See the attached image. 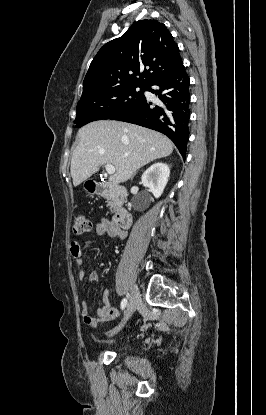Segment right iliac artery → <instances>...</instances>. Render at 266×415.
Segmentation results:
<instances>
[{
  "label": "right iliac artery",
  "mask_w": 266,
  "mask_h": 415,
  "mask_svg": "<svg viewBox=\"0 0 266 415\" xmlns=\"http://www.w3.org/2000/svg\"><path fill=\"white\" fill-rule=\"evenodd\" d=\"M126 305H127V299L124 298L121 302V309L123 310L126 307Z\"/></svg>",
  "instance_id": "1"
}]
</instances>
